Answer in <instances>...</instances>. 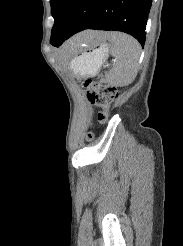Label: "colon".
<instances>
[{"instance_id":"1","label":"colon","mask_w":183,"mask_h":246,"mask_svg":"<svg viewBox=\"0 0 183 246\" xmlns=\"http://www.w3.org/2000/svg\"><path fill=\"white\" fill-rule=\"evenodd\" d=\"M86 95L89 103L100 108L97 119L105 121L109 115L110 102L116 97V89L110 85L100 84L92 79L84 82Z\"/></svg>"}]
</instances>
